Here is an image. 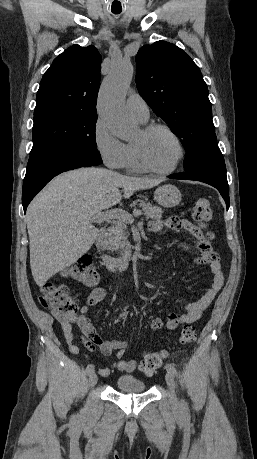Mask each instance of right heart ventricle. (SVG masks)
Listing matches in <instances>:
<instances>
[{
	"label": "right heart ventricle",
	"instance_id": "1",
	"mask_svg": "<svg viewBox=\"0 0 257 459\" xmlns=\"http://www.w3.org/2000/svg\"><path fill=\"white\" fill-rule=\"evenodd\" d=\"M126 146H127V159L123 167H125L130 172H135V173L145 172L146 170L142 167V165L140 164L138 160L134 143H128L126 144Z\"/></svg>",
	"mask_w": 257,
	"mask_h": 459
}]
</instances>
